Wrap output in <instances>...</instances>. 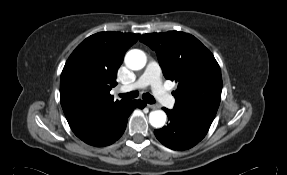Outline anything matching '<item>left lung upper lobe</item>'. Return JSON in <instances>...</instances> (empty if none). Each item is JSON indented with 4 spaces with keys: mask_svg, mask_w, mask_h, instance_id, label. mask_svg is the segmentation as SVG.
<instances>
[{
    "mask_svg": "<svg viewBox=\"0 0 287 175\" xmlns=\"http://www.w3.org/2000/svg\"><path fill=\"white\" fill-rule=\"evenodd\" d=\"M140 41L156 52L164 76L178 82L172 111L206 134L222 91L221 70L213 54L184 32L144 34Z\"/></svg>",
    "mask_w": 287,
    "mask_h": 175,
    "instance_id": "5c2ea615",
    "label": "left lung upper lobe"
}]
</instances>
